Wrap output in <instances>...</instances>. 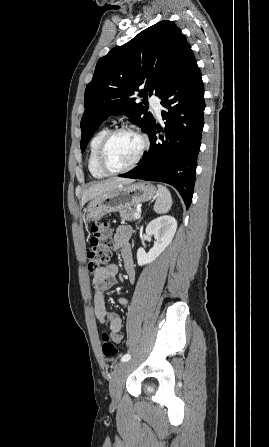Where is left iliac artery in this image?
<instances>
[{
	"mask_svg": "<svg viewBox=\"0 0 269 447\" xmlns=\"http://www.w3.org/2000/svg\"><path fill=\"white\" fill-rule=\"evenodd\" d=\"M130 358H131V355H130V354H125V355L122 357L121 361H122V362H126V361H128Z\"/></svg>",
	"mask_w": 269,
	"mask_h": 447,
	"instance_id": "44dca946",
	"label": "left iliac artery"
}]
</instances>
